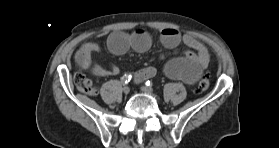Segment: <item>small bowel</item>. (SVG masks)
Instances as JSON below:
<instances>
[{
	"label": "small bowel",
	"instance_id": "1",
	"mask_svg": "<svg viewBox=\"0 0 279 148\" xmlns=\"http://www.w3.org/2000/svg\"><path fill=\"white\" fill-rule=\"evenodd\" d=\"M160 39L166 48L175 53H177L176 49L181 43L188 47L180 56L167 60L163 71L172 79L193 84L211 61V54L207 47L192 34H181L180 31L173 28L163 29ZM107 44L109 50L116 55H122L129 49L143 53L151 46V36L142 29L132 33L115 31L108 36ZM98 50L99 46L94 42L82 45L76 53V61L79 67L97 77L117 74L119 69L114 64H110L108 68H105L92 63L91 56ZM156 72L157 70L154 66L144 67L134 74V80L140 83L154 77Z\"/></svg>",
	"mask_w": 279,
	"mask_h": 148
}]
</instances>
